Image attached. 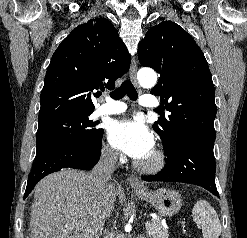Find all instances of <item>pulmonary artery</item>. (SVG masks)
<instances>
[{
    "label": "pulmonary artery",
    "instance_id": "1",
    "mask_svg": "<svg viewBox=\"0 0 247 238\" xmlns=\"http://www.w3.org/2000/svg\"><path fill=\"white\" fill-rule=\"evenodd\" d=\"M141 106L154 108L158 106V101L151 95H143L139 101ZM127 106L121 101L112 100L109 97H105V102L98 107L96 115H114L125 112Z\"/></svg>",
    "mask_w": 247,
    "mask_h": 238
}]
</instances>
